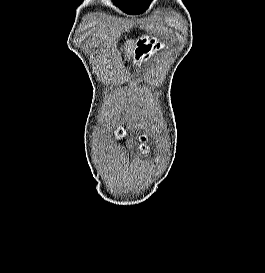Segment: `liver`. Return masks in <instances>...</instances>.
I'll return each instance as SVG.
<instances>
[{
    "label": "liver",
    "instance_id": "1",
    "mask_svg": "<svg viewBox=\"0 0 265 273\" xmlns=\"http://www.w3.org/2000/svg\"><path fill=\"white\" fill-rule=\"evenodd\" d=\"M131 42L129 43V45H128V48L126 47V51H127V53H129V54H131Z\"/></svg>",
    "mask_w": 265,
    "mask_h": 273
}]
</instances>
